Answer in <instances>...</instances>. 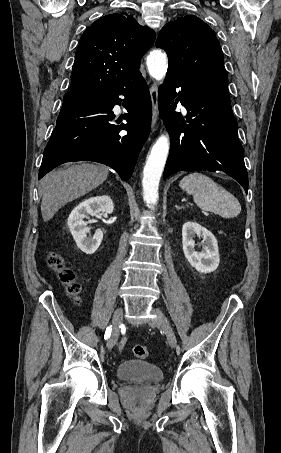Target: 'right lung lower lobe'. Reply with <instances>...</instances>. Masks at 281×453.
<instances>
[{"mask_svg":"<svg viewBox=\"0 0 281 453\" xmlns=\"http://www.w3.org/2000/svg\"><path fill=\"white\" fill-rule=\"evenodd\" d=\"M119 95L125 96V104ZM116 104L125 105L127 124L110 123L120 122L114 120ZM151 110L149 89L139 70L116 87L70 91L44 150L39 179L66 162L95 161L128 180L149 135Z\"/></svg>","mask_w":281,"mask_h":453,"instance_id":"right-lung-lower-lobe-1","label":"right lung lower lobe"}]
</instances>
